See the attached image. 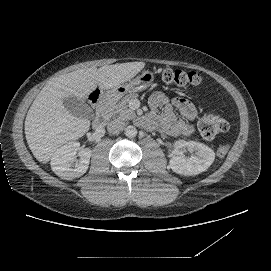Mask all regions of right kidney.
Here are the masks:
<instances>
[{"instance_id": "right-kidney-1", "label": "right kidney", "mask_w": 271, "mask_h": 271, "mask_svg": "<svg viewBox=\"0 0 271 271\" xmlns=\"http://www.w3.org/2000/svg\"><path fill=\"white\" fill-rule=\"evenodd\" d=\"M79 151L80 143L76 140L66 142L56 149L50 158L52 172L67 180L83 175L88 168L91 152L89 149Z\"/></svg>"}]
</instances>
